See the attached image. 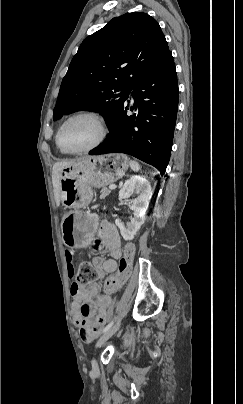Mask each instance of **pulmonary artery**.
Here are the masks:
<instances>
[{
  "label": "pulmonary artery",
  "instance_id": "pulmonary-artery-1",
  "mask_svg": "<svg viewBox=\"0 0 243 404\" xmlns=\"http://www.w3.org/2000/svg\"><path fill=\"white\" fill-rule=\"evenodd\" d=\"M127 93H128V98H129L131 101H133L132 91L130 90V91H128Z\"/></svg>",
  "mask_w": 243,
  "mask_h": 404
}]
</instances>
